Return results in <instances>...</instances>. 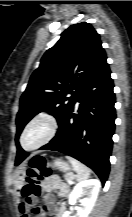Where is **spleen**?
Instances as JSON below:
<instances>
[{"mask_svg": "<svg viewBox=\"0 0 132 217\" xmlns=\"http://www.w3.org/2000/svg\"><path fill=\"white\" fill-rule=\"evenodd\" d=\"M66 158L69 160L74 170L76 171L78 181H82L89 178L91 171L87 166H85L83 163L79 162L78 160L70 156H67Z\"/></svg>", "mask_w": 132, "mask_h": 217, "instance_id": "1", "label": "spleen"}]
</instances>
